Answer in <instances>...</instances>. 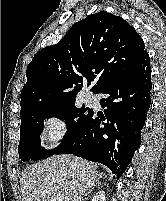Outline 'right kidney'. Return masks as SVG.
<instances>
[{
    "label": "right kidney",
    "mask_w": 166,
    "mask_h": 201,
    "mask_svg": "<svg viewBox=\"0 0 166 201\" xmlns=\"http://www.w3.org/2000/svg\"><path fill=\"white\" fill-rule=\"evenodd\" d=\"M91 201H105V192L104 191H99L97 192Z\"/></svg>",
    "instance_id": "right-kidney-1"
}]
</instances>
